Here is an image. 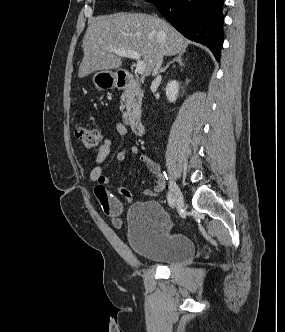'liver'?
<instances>
[{
  "mask_svg": "<svg viewBox=\"0 0 285 332\" xmlns=\"http://www.w3.org/2000/svg\"><path fill=\"white\" fill-rule=\"evenodd\" d=\"M189 41L166 21L147 14L116 13L90 21L83 38V59L78 77L102 70L117 69L120 56L107 48L132 50L140 53L145 74L150 75L162 53L173 56L184 53Z\"/></svg>",
  "mask_w": 285,
  "mask_h": 332,
  "instance_id": "1",
  "label": "liver"
}]
</instances>
